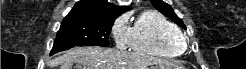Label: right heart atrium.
Instances as JSON below:
<instances>
[{"label": "right heart atrium", "instance_id": "1", "mask_svg": "<svg viewBox=\"0 0 246 69\" xmlns=\"http://www.w3.org/2000/svg\"><path fill=\"white\" fill-rule=\"evenodd\" d=\"M129 27L127 17L118 18L111 27V35L117 47H125L129 41Z\"/></svg>", "mask_w": 246, "mask_h": 69}]
</instances>
